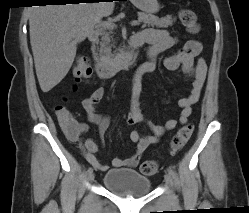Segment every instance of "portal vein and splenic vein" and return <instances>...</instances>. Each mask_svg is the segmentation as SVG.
<instances>
[{"instance_id": "obj_1", "label": "portal vein and splenic vein", "mask_w": 249, "mask_h": 213, "mask_svg": "<svg viewBox=\"0 0 249 213\" xmlns=\"http://www.w3.org/2000/svg\"><path fill=\"white\" fill-rule=\"evenodd\" d=\"M140 24V20H133L131 22V25L132 26H137ZM100 26L103 27V28H114L115 27V24L110 22V21H104V22H101L100 23Z\"/></svg>"}]
</instances>
